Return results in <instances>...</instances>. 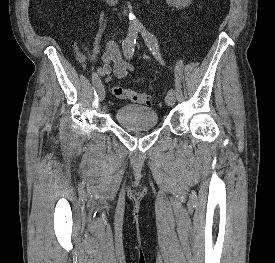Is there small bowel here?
Masks as SVG:
<instances>
[{
	"mask_svg": "<svg viewBox=\"0 0 275 263\" xmlns=\"http://www.w3.org/2000/svg\"><path fill=\"white\" fill-rule=\"evenodd\" d=\"M84 46L80 45L76 50V57L80 62L84 61ZM134 70L133 65L122 54L119 45L114 40H109L102 58V64L94 69L97 76L105 77L107 82L114 78H126Z\"/></svg>",
	"mask_w": 275,
	"mask_h": 263,
	"instance_id": "small-bowel-1",
	"label": "small bowel"
}]
</instances>
